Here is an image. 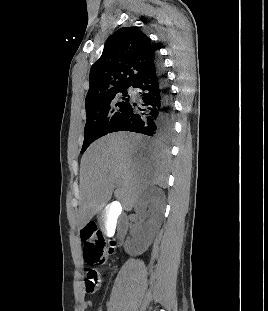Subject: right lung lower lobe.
Wrapping results in <instances>:
<instances>
[{
	"instance_id": "obj_1",
	"label": "right lung lower lobe",
	"mask_w": 268,
	"mask_h": 311,
	"mask_svg": "<svg viewBox=\"0 0 268 311\" xmlns=\"http://www.w3.org/2000/svg\"><path fill=\"white\" fill-rule=\"evenodd\" d=\"M137 92L109 133L131 131L169 140L174 132L171 92L159 58L132 85Z\"/></svg>"
}]
</instances>
